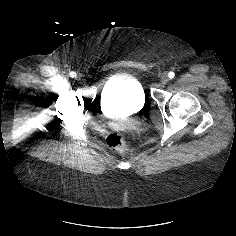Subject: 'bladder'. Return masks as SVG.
<instances>
[{
	"instance_id": "1",
	"label": "bladder",
	"mask_w": 236,
	"mask_h": 236,
	"mask_svg": "<svg viewBox=\"0 0 236 236\" xmlns=\"http://www.w3.org/2000/svg\"><path fill=\"white\" fill-rule=\"evenodd\" d=\"M103 106L108 113L113 107L130 112L139 111L145 104V92L140 80L130 74H121L108 80L102 88Z\"/></svg>"
}]
</instances>
